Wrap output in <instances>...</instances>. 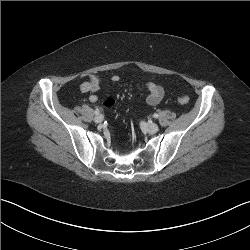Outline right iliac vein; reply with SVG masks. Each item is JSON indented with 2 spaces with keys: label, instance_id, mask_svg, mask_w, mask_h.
Here are the masks:
<instances>
[{
  "label": "right iliac vein",
  "instance_id": "63e3f726",
  "mask_svg": "<svg viewBox=\"0 0 250 250\" xmlns=\"http://www.w3.org/2000/svg\"><path fill=\"white\" fill-rule=\"evenodd\" d=\"M104 117L101 114H98L95 116L94 121L95 123H101L103 121Z\"/></svg>",
  "mask_w": 250,
  "mask_h": 250
}]
</instances>
